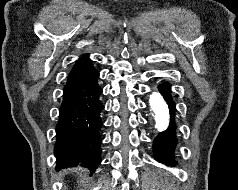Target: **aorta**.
I'll return each instance as SVG.
<instances>
[{"label":"aorta","instance_id":"1","mask_svg":"<svg viewBox=\"0 0 238 190\" xmlns=\"http://www.w3.org/2000/svg\"><path fill=\"white\" fill-rule=\"evenodd\" d=\"M150 109L154 114L156 122L155 127L158 130H164L169 125L170 110L167 102L157 91L151 93L149 98Z\"/></svg>","mask_w":238,"mask_h":190}]
</instances>
